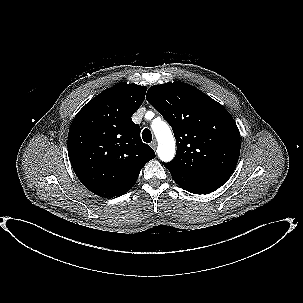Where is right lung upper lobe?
<instances>
[{"instance_id":"obj_1","label":"right lung upper lobe","mask_w":303,"mask_h":303,"mask_svg":"<svg viewBox=\"0 0 303 303\" xmlns=\"http://www.w3.org/2000/svg\"><path fill=\"white\" fill-rule=\"evenodd\" d=\"M146 90L118 83L88 102L71 123L67 144L71 165L81 183L100 197L126 193L145 163L155 157L131 119Z\"/></svg>"}]
</instances>
